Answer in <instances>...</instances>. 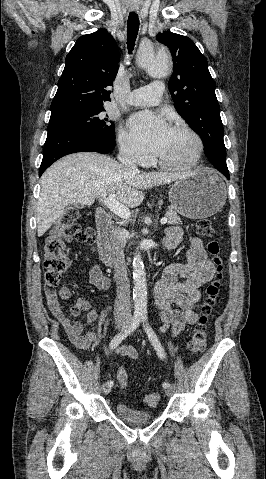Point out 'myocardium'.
Segmentation results:
<instances>
[{
	"mask_svg": "<svg viewBox=\"0 0 266 479\" xmlns=\"http://www.w3.org/2000/svg\"><path fill=\"white\" fill-rule=\"evenodd\" d=\"M173 130L182 131L190 135L194 142V149L192 154L185 160L177 161V162H168L164 161L161 158H157V163L165 168V169H173V170H182V169H189L194 167L202 157L204 151V144L200 135L193 130L191 127L179 124L173 127Z\"/></svg>",
	"mask_w": 266,
	"mask_h": 479,
	"instance_id": "obj_1",
	"label": "myocardium"
}]
</instances>
